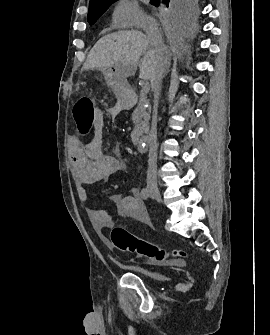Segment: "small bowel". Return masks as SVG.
<instances>
[{
  "label": "small bowel",
  "instance_id": "obj_1",
  "mask_svg": "<svg viewBox=\"0 0 270 335\" xmlns=\"http://www.w3.org/2000/svg\"><path fill=\"white\" fill-rule=\"evenodd\" d=\"M104 125V114L97 110L94 116V133L90 141L81 145L79 141L74 140L70 148L71 175L76 184L77 195L85 203L91 201V194L84 185L107 180L118 172L131 173L118 149L114 155L103 152ZM108 200L119 216L130 217L144 224L149 223L147 209L137 188H134L130 195L110 194ZM87 212L100 235L105 236L107 230L114 226L115 216L109 208L87 206Z\"/></svg>",
  "mask_w": 270,
  "mask_h": 335
}]
</instances>
